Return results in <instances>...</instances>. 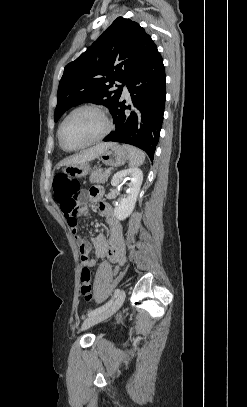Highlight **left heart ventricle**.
Returning <instances> with one entry per match:
<instances>
[{"instance_id":"left-heart-ventricle-1","label":"left heart ventricle","mask_w":247,"mask_h":407,"mask_svg":"<svg viewBox=\"0 0 247 407\" xmlns=\"http://www.w3.org/2000/svg\"><path fill=\"white\" fill-rule=\"evenodd\" d=\"M104 128L105 124L97 113L79 111L64 124L62 142L67 148H76L99 136Z\"/></svg>"}]
</instances>
